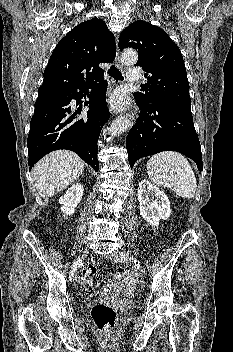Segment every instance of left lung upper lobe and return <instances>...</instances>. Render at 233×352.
Masks as SVG:
<instances>
[{
    "mask_svg": "<svg viewBox=\"0 0 233 352\" xmlns=\"http://www.w3.org/2000/svg\"><path fill=\"white\" fill-rule=\"evenodd\" d=\"M132 47L138 52L135 66L143 67L148 81L134 93L143 105L163 104L180 112L191 113L189 83L182 54L172 39L158 26L136 21L124 29L119 48Z\"/></svg>",
    "mask_w": 233,
    "mask_h": 352,
    "instance_id": "5c2ea615",
    "label": "left lung upper lobe"
}]
</instances>
